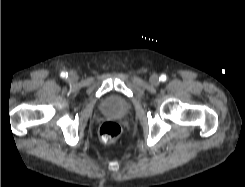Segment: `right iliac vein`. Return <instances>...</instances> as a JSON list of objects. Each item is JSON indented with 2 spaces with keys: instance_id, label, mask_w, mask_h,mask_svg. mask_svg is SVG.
<instances>
[{
  "instance_id": "obj_1",
  "label": "right iliac vein",
  "mask_w": 245,
  "mask_h": 187,
  "mask_svg": "<svg viewBox=\"0 0 245 187\" xmlns=\"http://www.w3.org/2000/svg\"><path fill=\"white\" fill-rule=\"evenodd\" d=\"M76 79H77L76 74L74 72H70L69 75H68V80L70 82H74V81H76Z\"/></svg>"
}]
</instances>
